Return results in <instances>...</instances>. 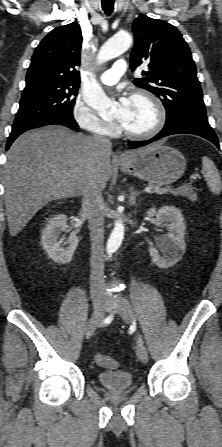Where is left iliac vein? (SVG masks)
Instances as JSON below:
<instances>
[{"instance_id": "4c4485c4", "label": "left iliac vein", "mask_w": 222, "mask_h": 447, "mask_svg": "<svg viewBox=\"0 0 222 447\" xmlns=\"http://www.w3.org/2000/svg\"><path fill=\"white\" fill-rule=\"evenodd\" d=\"M114 301H115V307L120 316L122 317V319L124 320V322L128 324L132 323L134 319V314L132 307L130 306L128 301L122 297H116V296L114 297ZM137 356L141 362L143 363L148 362V353L139 335H137Z\"/></svg>"}]
</instances>
